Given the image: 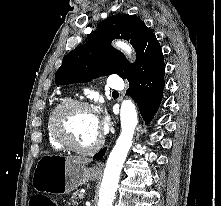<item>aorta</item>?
Wrapping results in <instances>:
<instances>
[{"instance_id": "1", "label": "aorta", "mask_w": 221, "mask_h": 206, "mask_svg": "<svg viewBox=\"0 0 221 206\" xmlns=\"http://www.w3.org/2000/svg\"><path fill=\"white\" fill-rule=\"evenodd\" d=\"M115 46L127 55H130L132 52L131 46L124 41H116ZM120 120L121 133L106 163L99 191L98 206H112L118 188L121 169L132 145L138 119L135 105L130 99L124 100L121 104Z\"/></svg>"}]
</instances>
